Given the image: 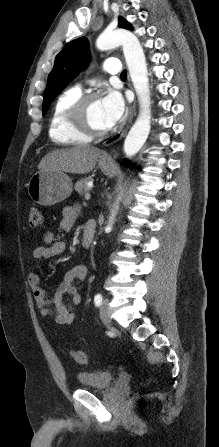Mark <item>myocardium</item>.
Masks as SVG:
<instances>
[{"instance_id": "obj_1", "label": "myocardium", "mask_w": 219, "mask_h": 447, "mask_svg": "<svg viewBox=\"0 0 219 447\" xmlns=\"http://www.w3.org/2000/svg\"><path fill=\"white\" fill-rule=\"evenodd\" d=\"M99 97L96 93L81 95L73 103L70 112L69 119L72 126L81 134L93 138H101L106 136L110 129H99L96 128L90 121L89 111L91 105L98 101Z\"/></svg>"}]
</instances>
